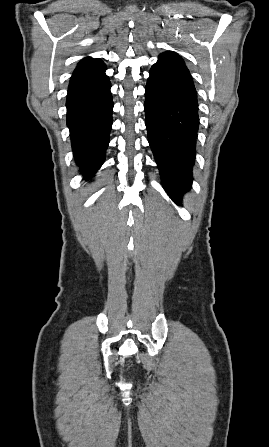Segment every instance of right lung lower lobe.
Segmentation results:
<instances>
[{
	"label": "right lung lower lobe",
	"mask_w": 269,
	"mask_h": 447,
	"mask_svg": "<svg viewBox=\"0 0 269 447\" xmlns=\"http://www.w3.org/2000/svg\"><path fill=\"white\" fill-rule=\"evenodd\" d=\"M102 61L78 66L67 95V126L72 150L84 179H89L105 159L112 125L111 84Z\"/></svg>",
	"instance_id": "right-lung-lower-lobe-1"
}]
</instances>
